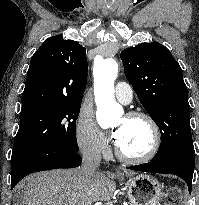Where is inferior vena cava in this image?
<instances>
[{
	"instance_id": "obj_1",
	"label": "inferior vena cava",
	"mask_w": 199,
	"mask_h": 205,
	"mask_svg": "<svg viewBox=\"0 0 199 205\" xmlns=\"http://www.w3.org/2000/svg\"><path fill=\"white\" fill-rule=\"evenodd\" d=\"M101 150L95 146L82 150V164L79 168L80 176L87 181L93 182L98 175L96 169L100 165Z\"/></svg>"
}]
</instances>
